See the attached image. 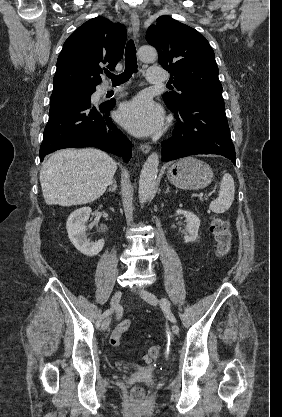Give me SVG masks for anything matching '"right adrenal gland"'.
<instances>
[{
  "label": "right adrenal gland",
  "mask_w": 282,
  "mask_h": 417,
  "mask_svg": "<svg viewBox=\"0 0 282 417\" xmlns=\"http://www.w3.org/2000/svg\"><path fill=\"white\" fill-rule=\"evenodd\" d=\"M116 190H117V182L116 180H114V178H112L109 184L108 192H116Z\"/></svg>",
  "instance_id": "1"
}]
</instances>
